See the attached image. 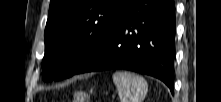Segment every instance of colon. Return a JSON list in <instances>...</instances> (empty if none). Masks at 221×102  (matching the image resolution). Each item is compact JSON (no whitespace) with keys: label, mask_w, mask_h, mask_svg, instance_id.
Returning <instances> with one entry per match:
<instances>
[{"label":"colon","mask_w":221,"mask_h":102,"mask_svg":"<svg viewBox=\"0 0 221 102\" xmlns=\"http://www.w3.org/2000/svg\"><path fill=\"white\" fill-rule=\"evenodd\" d=\"M88 96L85 92L79 91L75 94L74 102H87Z\"/></svg>","instance_id":"obj_1"}]
</instances>
